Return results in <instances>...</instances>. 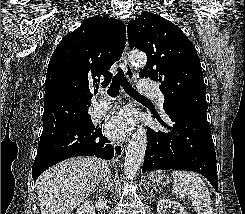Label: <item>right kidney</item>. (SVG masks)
Wrapping results in <instances>:
<instances>
[{
  "mask_svg": "<svg viewBox=\"0 0 245 214\" xmlns=\"http://www.w3.org/2000/svg\"><path fill=\"white\" fill-rule=\"evenodd\" d=\"M76 214H95V208L91 201L84 202L76 211Z\"/></svg>",
  "mask_w": 245,
  "mask_h": 214,
  "instance_id": "1",
  "label": "right kidney"
}]
</instances>
